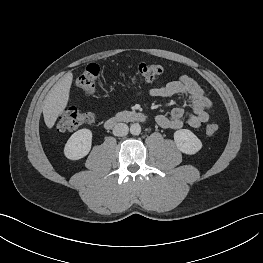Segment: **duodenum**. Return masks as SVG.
Instances as JSON below:
<instances>
[{
  "label": "duodenum",
  "instance_id": "duodenum-1",
  "mask_svg": "<svg viewBox=\"0 0 263 263\" xmlns=\"http://www.w3.org/2000/svg\"><path fill=\"white\" fill-rule=\"evenodd\" d=\"M147 119L146 115L139 111H131L129 113L111 116L105 120V126L112 128L123 122H145Z\"/></svg>",
  "mask_w": 263,
  "mask_h": 263
}]
</instances>
